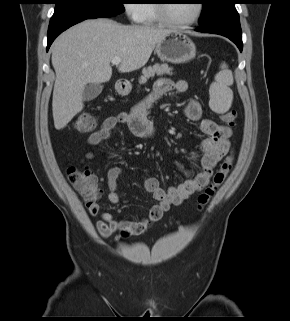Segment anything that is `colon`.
I'll list each match as a JSON object with an SVG mask.
<instances>
[{
    "instance_id": "obj_1",
    "label": "colon",
    "mask_w": 290,
    "mask_h": 321,
    "mask_svg": "<svg viewBox=\"0 0 290 321\" xmlns=\"http://www.w3.org/2000/svg\"><path fill=\"white\" fill-rule=\"evenodd\" d=\"M221 118L229 125H234L236 121V112L228 111L221 114ZM96 126L95 118L88 114H81L76 122V130L80 133H88L92 131ZM233 166V158L228 157L220 166L219 170L213 177L212 182L205 188V190L199 195V206H205L211 198L214 196L217 189L227 178ZM67 179L74 187L77 193L85 201L86 205H91L96 202L102 195L101 189L98 187L96 178L92 171L88 168L71 166L66 172ZM122 233L128 235L133 233L129 227H122Z\"/></svg>"
}]
</instances>
